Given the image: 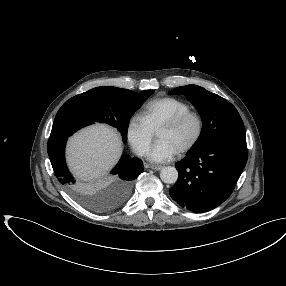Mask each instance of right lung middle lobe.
<instances>
[{
	"mask_svg": "<svg viewBox=\"0 0 286 286\" xmlns=\"http://www.w3.org/2000/svg\"><path fill=\"white\" fill-rule=\"evenodd\" d=\"M153 92L154 90H144L135 93L111 86L97 87L65 102L59 109L54 123L73 133L95 122L106 123L116 127L122 135L123 142L126 143L131 116ZM124 191L123 187H119L111 208L120 201L126 200L131 189L127 195H124ZM77 197L84 206L91 210L108 209L102 195H89L84 192Z\"/></svg>",
	"mask_w": 286,
	"mask_h": 286,
	"instance_id": "obj_1",
	"label": "right lung middle lobe"
}]
</instances>
